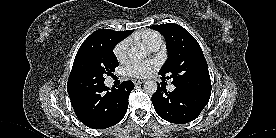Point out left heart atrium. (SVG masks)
I'll list each match as a JSON object with an SVG mask.
<instances>
[{
  "label": "left heart atrium",
  "instance_id": "left-heart-atrium-1",
  "mask_svg": "<svg viewBox=\"0 0 276 138\" xmlns=\"http://www.w3.org/2000/svg\"><path fill=\"white\" fill-rule=\"evenodd\" d=\"M154 68L152 63L132 62L127 66V73L134 77H146Z\"/></svg>",
  "mask_w": 276,
  "mask_h": 138
}]
</instances>
